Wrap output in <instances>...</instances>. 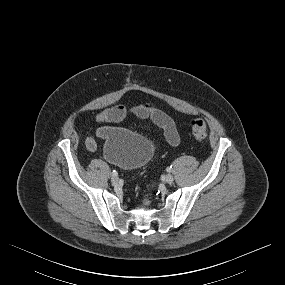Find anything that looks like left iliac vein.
Instances as JSON below:
<instances>
[{"label":"left iliac vein","mask_w":285,"mask_h":285,"mask_svg":"<svg viewBox=\"0 0 285 285\" xmlns=\"http://www.w3.org/2000/svg\"><path fill=\"white\" fill-rule=\"evenodd\" d=\"M165 181H166L168 184H172L173 181H174V178H173V176H172L171 174H168V175H166V177H165Z\"/></svg>","instance_id":"left-iliac-vein-1"}]
</instances>
